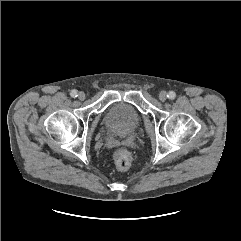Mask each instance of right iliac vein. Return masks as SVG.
<instances>
[{
  "label": "right iliac vein",
  "mask_w": 241,
  "mask_h": 241,
  "mask_svg": "<svg viewBox=\"0 0 241 241\" xmlns=\"http://www.w3.org/2000/svg\"><path fill=\"white\" fill-rule=\"evenodd\" d=\"M85 97H86V95H85L84 92H79V93H78V98H79L80 100H84Z\"/></svg>",
  "instance_id": "1"
}]
</instances>
